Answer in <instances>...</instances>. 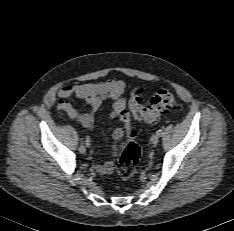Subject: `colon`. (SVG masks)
<instances>
[{
  "mask_svg": "<svg viewBox=\"0 0 234 231\" xmlns=\"http://www.w3.org/2000/svg\"><path fill=\"white\" fill-rule=\"evenodd\" d=\"M142 93L143 90L141 88H136L132 90L129 99L130 111L135 119L140 122L153 123L162 113L176 105V98L169 90L163 89L158 91L151 98L147 106L143 104ZM124 133L122 128L116 130L114 134L115 139H121ZM126 134L130 139L125 144L117 165V173L124 181H127L134 176L141 154L140 147L133 140L136 134L135 130L129 128Z\"/></svg>",
  "mask_w": 234,
  "mask_h": 231,
  "instance_id": "5ec220e1",
  "label": "colon"
}]
</instances>
